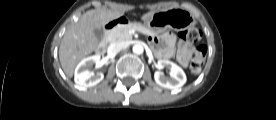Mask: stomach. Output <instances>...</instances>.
Masks as SVG:
<instances>
[{
	"label": "stomach",
	"instance_id": "1",
	"mask_svg": "<svg viewBox=\"0 0 276 120\" xmlns=\"http://www.w3.org/2000/svg\"><path fill=\"white\" fill-rule=\"evenodd\" d=\"M143 21V25L153 33H161L167 29L184 31L192 28L196 23L193 14L183 8L158 10Z\"/></svg>",
	"mask_w": 276,
	"mask_h": 120
}]
</instances>
